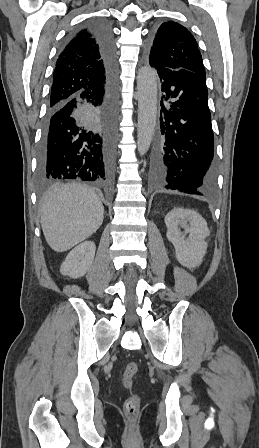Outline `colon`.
Wrapping results in <instances>:
<instances>
[{
  "label": "colon",
  "mask_w": 259,
  "mask_h": 448,
  "mask_svg": "<svg viewBox=\"0 0 259 448\" xmlns=\"http://www.w3.org/2000/svg\"><path fill=\"white\" fill-rule=\"evenodd\" d=\"M138 371V364L134 361L129 362L123 372V382L130 387L132 380ZM140 398L138 395H132L124 403V410L130 420H134L139 412Z\"/></svg>",
  "instance_id": "5ec220e1"
}]
</instances>
